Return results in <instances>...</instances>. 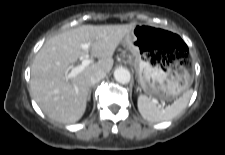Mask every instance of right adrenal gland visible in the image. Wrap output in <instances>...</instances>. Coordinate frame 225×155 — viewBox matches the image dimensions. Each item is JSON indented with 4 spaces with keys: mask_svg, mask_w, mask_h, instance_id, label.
Wrapping results in <instances>:
<instances>
[{
    "mask_svg": "<svg viewBox=\"0 0 225 155\" xmlns=\"http://www.w3.org/2000/svg\"><path fill=\"white\" fill-rule=\"evenodd\" d=\"M90 98H91V89H90V91H89L88 100H90Z\"/></svg>",
    "mask_w": 225,
    "mask_h": 155,
    "instance_id": "obj_1",
    "label": "right adrenal gland"
}]
</instances>
